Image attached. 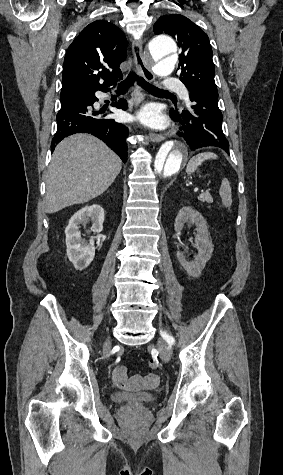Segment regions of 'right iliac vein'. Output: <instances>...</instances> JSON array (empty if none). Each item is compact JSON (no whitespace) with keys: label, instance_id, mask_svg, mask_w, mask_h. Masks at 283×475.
Instances as JSON below:
<instances>
[{"label":"right iliac vein","instance_id":"obj_1","mask_svg":"<svg viewBox=\"0 0 283 475\" xmlns=\"http://www.w3.org/2000/svg\"><path fill=\"white\" fill-rule=\"evenodd\" d=\"M110 349H111V344L109 342H105L104 349H103L105 356H108Z\"/></svg>","mask_w":283,"mask_h":475}]
</instances>
